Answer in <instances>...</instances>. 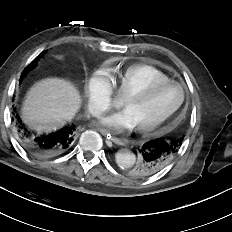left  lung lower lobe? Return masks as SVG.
Here are the masks:
<instances>
[{
  "label": "left lung lower lobe",
  "instance_id": "obj_1",
  "mask_svg": "<svg viewBox=\"0 0 232 232\" xmlns=\"http://www.w3.org/2000/svg\"><path fill=\"white\" fill-rule=\"evenodd\" d=\"M180 144L182 142L177 143L176 140L164 137L144 143L139 149V161L132 169L131 175L142 178L161 171L172 161Z\"/></svg>",
  "mask_w": 232,
  "mask_h": 232
}]
</instances>
